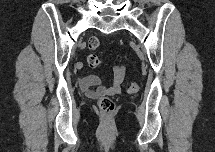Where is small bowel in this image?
<instances>
[{"instance_id": "small-bowel-1", "label": "small bowel", "mask_w": 215, "mask_h": 152, "mask_svg": "<svg viewBox=\"0 0 215 152\" xmlns=\"http://www.w3.org/2000/svg\"><path fill=\"white\" fill-rule=\"evenodd\" d=\"M124 69L119 66L114 67V76L110 86L106 87L102 84L101 79L93 74L81 77L78 80V85L84 94L91 99H96L104 95L117 94L121 90L123 82Z\"/></svg>"}]
</instances>
